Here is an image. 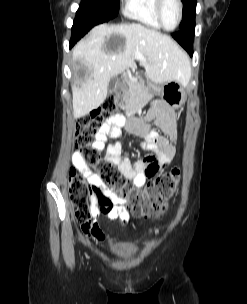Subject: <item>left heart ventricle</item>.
Returning <instances> with one entry per match:
<instances>
[{
  "instance_id": "b2bd125f",
  "label": "left heart ventricle",
  "mask_w": 247,
  "mask_h": 304,
  "mask_svg": "<svg viewBox=\"0 0 247 304\" xmlns=\"http://www.w3.org/2000/svg\"><path fill=\"white\" fill-rule=\"evenodd\" d=\"M179 8L175 0H165L162 9V18L167 28H173L178 20Z\"/></svg>"
}]
</instances>
